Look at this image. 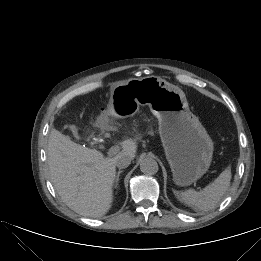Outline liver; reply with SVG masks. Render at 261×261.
Segmentation results:
<instances>
[{
  "label": "liver",
  "instance_id": "1",
  "mask_svg": "<svg viewBox=\"0 0 261 261\" xmlns=\"http://www.w3.org/2000/svg\"><path fill=\"white\" fill-rule=\"evenodd\" d=\"M113 118L114 113L109 109L97 117L96 125L117 131V127L110 122ZM121 146L122 151L117 155L125 153L135 158V142L127 139ZM116 156L105 158L96 149L83 147L69 136L52 129L48 140L47 163L51 182L63 202L86 217L105 215L113 201Z\"/></svg>",
  "mask_w": 261,
  "mask_h": 261
}]
</instances>
